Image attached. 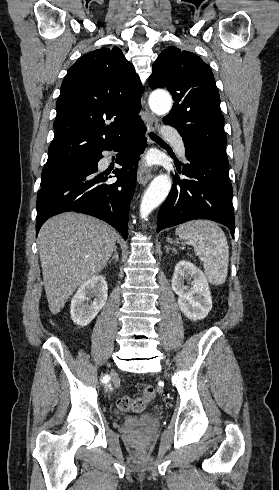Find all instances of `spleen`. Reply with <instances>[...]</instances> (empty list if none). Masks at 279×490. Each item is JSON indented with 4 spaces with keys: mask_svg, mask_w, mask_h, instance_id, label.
Here are the masks:
<instances>
[{
    "mask_svg": "<svg viewBox=\"0 0 279 490\" xmlns=\"http://www.w3.org/2000/svg\"><path fill=\"white\" fill-rule=\"evenodd\" d=\"M181 240H188L199 260H202L205 276L213 286L225 284L228 274L229 248L225 234L215 222L193 220L181 224L176 230Z\"/></svg>",
    "mask_w": 279,
    "mask_h": 490,
    "instance_id": "obj_1",
    "label": "spleen"
}]
</instances>
